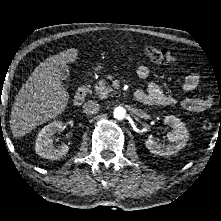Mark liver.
<instances>
[{
	"label": "liver",
	"instance_id": "1",
	"mask_svg": "<svg viewBox=\"0 0 221 221\" xmlns=\"http://www.w3.org/2000/svg\"><path fill=\"white\" fill-rule=\"evenodd\" d=\"M78 51L71 48L40 63L15 97L10 114V128L21 138L37 126L64 112L69 93L58 75L60 65L75 62Z\"/></svg>",
	"mask_w": 221,
	"mask_h": 221
}]
</instances>
